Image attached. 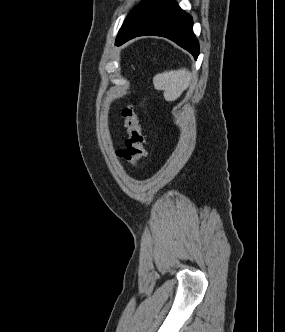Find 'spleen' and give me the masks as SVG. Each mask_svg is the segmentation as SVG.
<instances>
[{
	"mask_svg": "<svg viewBox=\"0 0 285 332\" xmlns=\"http://www.w3.org/2000/svg\"><path fill=\"white\" fill-rule=\"evenodd\" d=\"M191 74L185 69L165 71L153 78V85L156 90H163L166 101H175L190 84Z\"/></svg>",
	"mask_w": 285,
	"mask_h": 332,
	"instance_id": "1",
	"label": "spleen"
}]
</instances>
